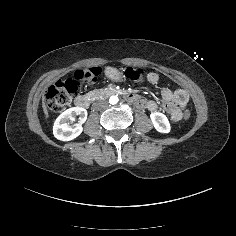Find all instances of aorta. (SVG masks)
I'll return each mask as SVG.
<instances>
[{"instance_id":"1","label":"aorta","mask_w":236,"mask_h":236,"mask_svg":"<svg viewBox=\"0 0 236 236\" xmlns=\"http://www.w3.org/2000/svg\"><path fill=\"white\" fill-rule=\"evenodd\" d=\"M109 103L114 105L118 103V97L117 96H111L109 99Z\"/></svg>"}]
</instances>
